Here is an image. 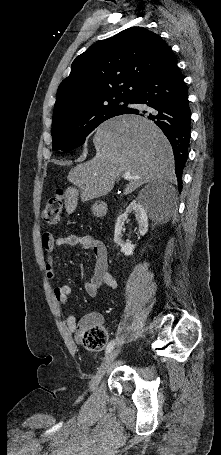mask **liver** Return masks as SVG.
I'll use <instances>...</instances> for the list:
<instances>
[{
    "label": "liver",
    "instance_id": "obj_1",
    "mask_svg": "<svg viewBox=\"0 0 221 455\" xmlns=\"http://www.w3.org/2000/svg\"><path fill=\"white\" fill-rule=\"evenodd\" d=\"M93 144L95 157L68 174L74 187L65 191L67 214L75 211L79 196L85 202L107 195L125 172L133 177L125 195L153 180L175 179L172 147L147 118L127 114L111 118L97 128Z\"/></svg>",
    "mask_w": 221,
    "mask_h": 455
}]
</instances>
